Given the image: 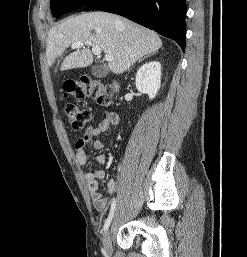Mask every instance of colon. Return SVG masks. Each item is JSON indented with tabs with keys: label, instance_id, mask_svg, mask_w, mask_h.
<instances>
[{
	"label": "colon",
	"instance_id": "5ec220e1",
	"mask_svg": "<svg viewBox=\"0 0 247 257\" xmlns=\"http://www.w3.org/2000/svg\"><path fill=\"white\" fill-rule=\"evenodd\" d=\"M65 98H72L76 101H82L89 97L94 99L102 106L111 104V89L108 85L89 79L87 77L79 80H68L63 85ZM66 115L69 123L75 130H83L93 122V114L81 106L68 103L66 105Z\"/></svg>",
	"mask_w": 247,
	"mask_h": 257
}]
</instances>
